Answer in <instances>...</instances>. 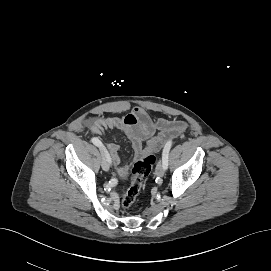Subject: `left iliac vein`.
<instances>
[{
  "label": "left iliac vein",
  "instance_id": "left-iliac-vein-1",
  "mask_svg": "<svg viewBox=\"0 0 271 271\" xmlns=\"http://www.w3.org/2000/svg\"><path fill=\"white\" fill-rule=\"evenodd\" d=\"M155 173L157 176L162 177L165 173V168L163 166V163L161 161L158 162L157 166H156V170Z\"/></svg>",
  "mask_w": 271,
  "mask_h": 271
}]
</instances>
